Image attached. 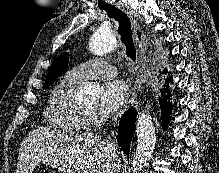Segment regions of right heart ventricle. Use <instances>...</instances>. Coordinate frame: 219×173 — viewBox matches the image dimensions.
I'll return each instance as SVG.
<instances>
[{
    "label": "right heart ventricle",
    "mask_w": 219,
    "mask_h": 173,
    "mask_svg": "<svg viewBox=\"0 0 219 173\" xmlns=\"http://www.w3.org/2000/svg\"><path fill=\"white\" fill-rule=\"evenodd\" d=\"M78 86L65 76L52 89L45 111L51 128L64 132H80L88 128V115L74 101Z\"/></svg>",
    "instance_id": "right-heart-ventricle-1"
}]
</instances>
